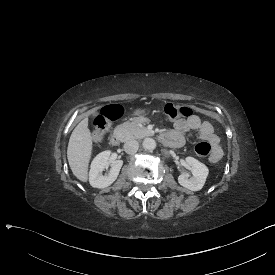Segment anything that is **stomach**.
<instances>
[{
  "label": "stomach",
  "instance_id": "stomach-1",
  "mask_svg": "<svg viewBox=\"0 0 275 275\" xmlns=\"http://www.w3.org/2000/svg\"><path fill=\"white\" fill-rule=\"evenodd\" d=\"M134 115L142 117V116H145L146 113H145V110L138 109L134 112Z\"/></svg>",
  "mask_w": 275,
  "mask_h": 275
}]
</instances>
